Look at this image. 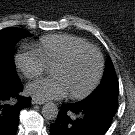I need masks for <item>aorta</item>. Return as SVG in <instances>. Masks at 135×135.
I'll return each mask as SVG.
<instances>
[{
  "label": "aorta",
  "mask_w": 135,
  "mask_h": 135,
  "mask_svg": "<svg viewBox=\"0 0 135 135\" xmlns=\"http://www.w3.org/2000/svg\"><path fill=\"white\" fill-rule=\"evenodd\" d=\"M58 112H59L58 107L52 102L46 103L42 107V115L47 120L56 119Z\"/></svg>",
  "instance_id": "aorta-1"
}]
</instances>
